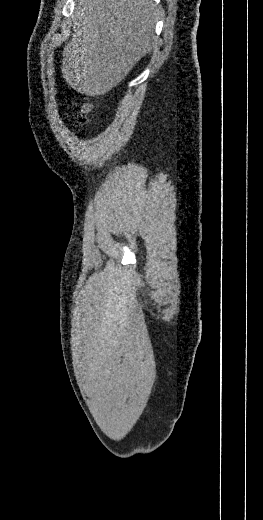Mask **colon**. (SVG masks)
Wrapping results in <instances>:
<instances>
[{
  "label": "colon",
  "instance_id": "colon-1",
  "mask_svg": "<svg viewBox=\"0 0 263 520\" xmlns=\"http://www.w3.org/2000/svg\"><path fill=\"white\" fill-rule=\"evenodd\" d=\"M80 116L78 119V123L81 126H85L88 123L87 114L91 111V105L89 103H82L79 106Z\"/></svg>",
  "mask_w": 263,
  "mask_h": 520
}]
</instances>
